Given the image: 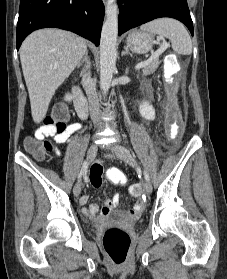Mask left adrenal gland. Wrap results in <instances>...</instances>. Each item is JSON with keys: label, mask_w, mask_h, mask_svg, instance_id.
<instances>
[{"label": "left adrenal gland", "mask_w": 227, "mask_h": 279, "mask_svg": "<svg viewBox=\"0 0 227 279\" xmlns=\"http://www.w3.org/2000/svg\"><path fill=\"white\" fill-rule=\"evenodd\" d=\"M122 55H130L132 56V54L129 52L128 47H124V51L122 52ZM128 73V69L125 70V74Z\"/></svg>", "instance_id": "obj_1"}]
</instances>
